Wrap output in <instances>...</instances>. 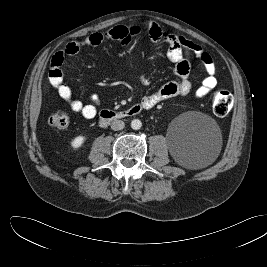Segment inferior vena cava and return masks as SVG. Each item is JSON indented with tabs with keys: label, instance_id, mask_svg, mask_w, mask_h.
I'll list each match as a JSON object with an SVG mask.
<instances>
[{
	"label": "inferior vena cava",
	"instance_id": "inferior-vena-cava-1",
	"mask_svg": "<svg viewBox=\"0 0 267 267\" xmlns=\"http://www.w3.org/2000/svg\"><path fill=\"white\" fill-rule=\"evenodd\" d=\"M125 127V124L122 120H114L111 123V129L114 131L122 130Z\"/></svg>",
	"mask_w": 267,
	"mask_h": 267
}]
</instances>
